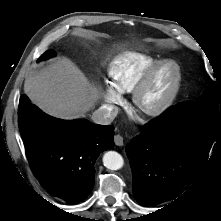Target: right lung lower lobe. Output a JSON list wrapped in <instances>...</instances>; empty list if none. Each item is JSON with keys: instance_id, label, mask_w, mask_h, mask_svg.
<instances>
[{"instance_id": "right-lung-lower-lobe-1", "label": "right lung lower lobe", "mask_w": 221, "mask_h": 221, "mask_svg": "<svg viewBox=\"0 0 221 221\" xmlns=\"http://www.w3.org/2000/svg\"><path fill=\"white\" fill-rule=\"evenodd\" d=\"M18 124L40 184L68 203L85 199L94 185L97 157L114 145V127L54 118L31 104L26 95L19 100Z\"/></svg>"}]
</instances>
